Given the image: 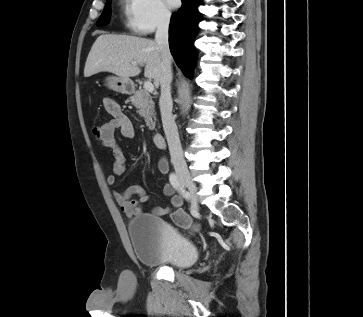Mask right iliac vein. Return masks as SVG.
Masks as SVG:
<instances>
[{
    "label": "right iliac vein",
    "mask_w": 363,
    "mask_h": 317,
    "mask_svg": "<svg viewBox=\"0 0 363 317\" xmlns=\"http://www.w3.org/2000/svg\"><path fill=\"white\" fill-rule=\"evenodd\" d=\"M178 178L180 182L187 187L191 196L193 207L195 209H198L199 206H198L197 187L194 181L192 180L189 174H184V173H180L178 175Z\"/></svg>",
    "instance_id": "right-iliac-vein-1"
}]
</instances>
